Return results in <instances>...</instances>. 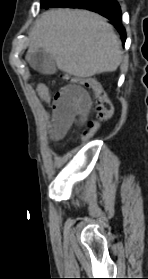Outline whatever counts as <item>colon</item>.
<instances>
[{
    "mask_svg": "<svg viewBox=\"0 0 148 279\" xmlns=\"http://www.w3.org/2000/svg\"><path fill=\"white\" fill-rule=\"evenodd\" d=\"M65 80L69 84L78 85L80 87L89 89L94 96L95 108L98 112V120L90 123V126L86 132V134L90 135L100 127L102 122L109 120L113 116L114 106L109 99L102 83L97 78L66 77ZM35 88L39 97L44 102H51L53 100L56 92L53 91L50 85L39 83Z\"/></svg>",
    "mask_w": 148,
    "mask_h": 279,
    "instance_id": "1",
    "label": "colon"
}]
</instances>
